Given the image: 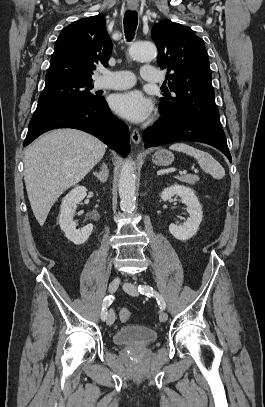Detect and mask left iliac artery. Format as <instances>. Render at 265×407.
Listing matches in <instances>:
<instances>
[{
	"label": "left iliac artery",
	"mask_w": 265,
	"mask_h": 407,
	"mask_svg": "<svg viewBox=\"0 0 265 407\" xmlns=\"http://www.w3.org/2000/svg\"><path fill=\"white\" fill-rule=\"evenodd\" d=\"M138 292H140L141 294L150 296V297L151 296L155 297L158 302V305L160 306V309L165 310L166 303H165L164 298L159 293H157L152 287L146 286V285H139Z\"/></svg>",
	"instance_id": "obj_1"
}]
</instances>
